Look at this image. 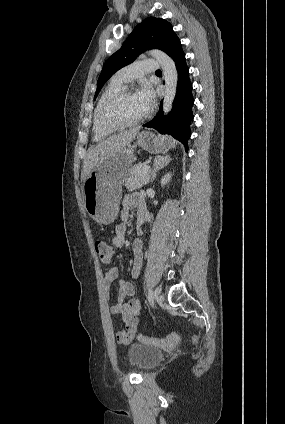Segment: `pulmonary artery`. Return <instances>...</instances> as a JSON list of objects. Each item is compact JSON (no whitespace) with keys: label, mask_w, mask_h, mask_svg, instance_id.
<instances>
[{"label":"pulmonary artery","mask_w":285,"mask_h":424,"mask_svg":"<svg viewBox=\"0 0 285 424\" xmlns=\"http://www.w3.org/2000/svg\"><path fill=\"white\" fill-rule=\"evenodd\" d=\"M160 67L158 61L145 59L135 61L133 64L120 69L113 77L119 83H128L133 79L142 77L148 73L156 72Z\"/></svg>","instance_id":"pulmonary-artery-1"}]
</instances>
